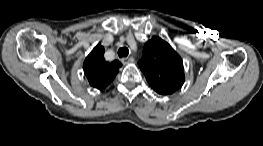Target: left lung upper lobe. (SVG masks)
I'll list each match as a JSON object with an SVG mask.
<instances>
[{"mask_svg": "<svg viewBox=\"0 0 263 146\" xmlns=\"http://www.w3.org/2000/svg\"><path fill=\"white\" fill-rule=\"evenodd\" d=\"M149 85L161 95H169L184 83L183 61L179 54L160 37H152L144 46L138 63Z\"/></svg>", "mask_w": 263, "mask_h": 146, "instance_id": "5c2ea615", "label": "left lung upper lobe"}]
</instances>
